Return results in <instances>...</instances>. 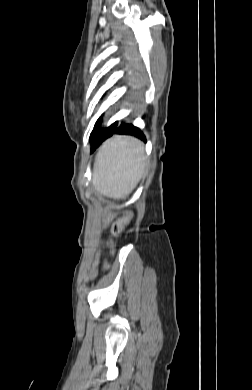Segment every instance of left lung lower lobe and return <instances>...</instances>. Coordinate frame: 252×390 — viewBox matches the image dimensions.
<instances>
[{
	"instance_id": "obj_1",
	"label": "left lung lower lobe",
	"mask_w": 252,
	"mask_h": 390,
	"mask_svg": "<svg viewBox=\"0 0 252 390\" xmlns=\"http://www.w3.org/2000/svg\"><path fill=\"white\" fill-rule=\"evenodd\" d=\"M101 122L102 117L98 119L95 124V130L91 133V152H93L106 138L110 137L114 133L133 135L143 141H146L142 131L132 124L122 123L118 128H116L118 122H115L107 128H100L99 124Z\"/></svg>"
}]
</instances>
